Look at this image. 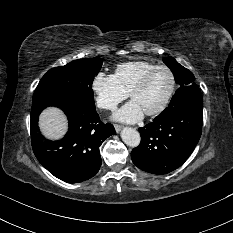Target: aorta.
<instances>
[{
    "instance_id": "aorta-1",
    "label": "aorta",
    "mask_w": 233,
    "mask_h": 233,
    "mask_svg": "<svg viewBox=\"0 0 233 233\" xmlns=\"http://www.w3.org/2000/svg\"><path fill=\"white\" fill-rule=\"evenodd\" d=\"M123 142L130 147H137L140 144V134L131 127H125L121 132Z\"/></svg>"
}]
</instances>
